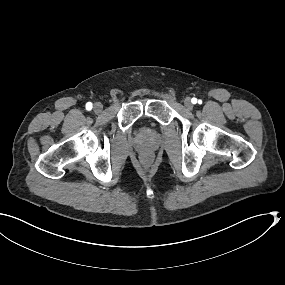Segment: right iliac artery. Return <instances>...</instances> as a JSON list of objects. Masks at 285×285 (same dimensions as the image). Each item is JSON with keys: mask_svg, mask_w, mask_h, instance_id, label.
I'll return each mask as SVG.
<instances>
[{"mask_svg": "<svg viewBox=\"0 0 285 285\" xmlns=\"http://www.w3.org/2000/svg\"><path fill=\"white\" fill-rule=\"evenodd\" d=\"M86 109H87V110H91V109H92V103H91V102H88V103L86 104Z\"/></svg>", "mask_w": 285, "mask_h": 285, "instance_id": "right-iliac-artery-1", "label": "right iliac artery"}]
</instances>
